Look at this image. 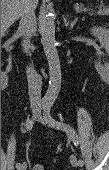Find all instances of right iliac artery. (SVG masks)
<instances>
[{"mask_svg": "<svg viewBox=\"0 0 109 170\" xmlns=\"http://www.w3.org/2000/svg\"><path fill=\"white\" fill-rule=\"evenodd\" d=\"M45 107H46V103L42 102L41 104H39V107L37 108V112L36 113L41 112V110L44 109ZM33 125H34V119H29V120L26 121V129L28 131L32 130ZM20 165H21V163H17L16 167L18 168Z\"/></svg>", "mask_w": 109, "mask_h": 170, "instance_id": "1", "label": "right iliac artery"}]
</instances>
